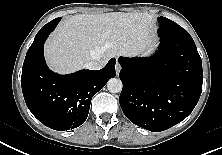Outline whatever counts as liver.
<instances>
[{
	"mask_svg": "<svg viewBox=\"0 0 222 155\" xmlns=\"http://www.w3.org/2000/svg\"><path fill=\"white\" fill-rule=\"evenodd\" d=\"M154 17L148 13L79 14L64 20L47 41L44 54L59 74L77 71L90 61L135 56L153 46Z\"/></svg>",
	"mask_w": 222,
	"mask_h": 155,
	"instance_id": "liver-1",
	"label": "liver"
}]
</instances>
